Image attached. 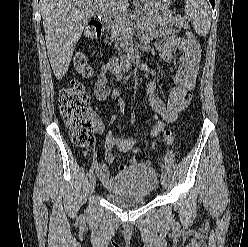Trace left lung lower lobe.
I'll return each mask as SVG.
<instances>
[{
    "label": "left lung lower lobe",
    "mask_w": 248,
    "mask_h": 247,
    "mask_svg": "<svg viewBox=\"0 0 248 247\" xmlns=\"http://www.w3.org/2000/svg\"><path fill=\"white\" fill-rule=\"evenodd\" d=\"M210 3L212 4V7L214 8V3H215V0H209Z\"/></svg>",
    "instance_id": "1"
}]
</instances>
